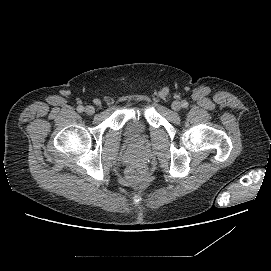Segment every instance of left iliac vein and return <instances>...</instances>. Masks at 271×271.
<instances>
[{"mask_svg": "<svg viewBox=\"0 0 271 271\" xmlns=\"http://www.w3.org/2000/svg\"><path fill=\"white\" fill-rule=\"evenodd\" d=\"M172 109L175 111H179L182 107L181 103L179 101H174L171 105Z\"/></svg>", "mask_w": 271, "mask_h": 271, "instance_id": "4c4485c4", "label": "left iliac vein"}]
</instances>
